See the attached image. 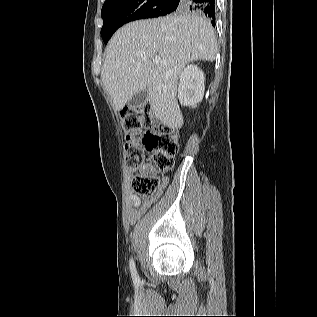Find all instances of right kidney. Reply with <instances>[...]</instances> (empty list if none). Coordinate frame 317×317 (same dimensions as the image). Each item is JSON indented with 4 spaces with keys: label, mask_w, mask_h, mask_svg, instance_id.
Masks as SVG:
<instances>
[{
    "label": "right kidney",
    "mask_w": 317,
    "mask_h": 317,
    "mask_svg": "<svg viewBox=\"0 0 317 317\" xmlns=\"http://www.w3.org/2000/svg\"><path fill=\"white\" fill-rule=\"evenodd\" d=\"M205 76L196 65H188L181 72L178 98L181 105L195 107L204 96Z\"/></svg>",
    "instance_id": "right-kidney-1"
}]
</instances>
